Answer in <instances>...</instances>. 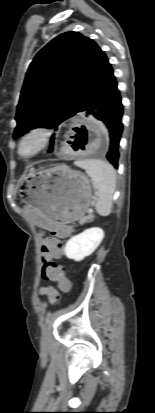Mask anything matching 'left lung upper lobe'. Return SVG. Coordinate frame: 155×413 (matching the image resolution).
Wrapping results in <instances>:
<instances>
[{"instance_id":"5c2ea615","label":"left lung upper lobe","mask_w":155,"mask_h":413,"mask_svg":"<svg viewBox=\"0 0 155 413\" xmlns=\"http://www.w3.org/2000/svg\"><path fill=\"white\" fill-rule=\"evenodd\" d=\"M106 61L98 45L78 32L54 38L29 66L17 106L13 138L38 126L56 128L78 113ZM53 139L49 152L53 150Z\"/></svg>"}]
</instances>
